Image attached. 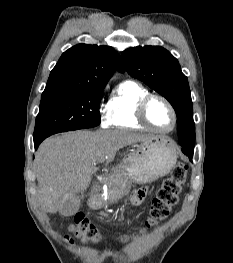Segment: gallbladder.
Segmentation results:
<instances>
[{
  "mask_svg": "<svg viewBox=\"0 0 233 263\" xmlns=\"http://www.w3.org/2000/svg\"><path fill=\"white\" fill-rule=\"evenodd\" d=\"M80 205L81 202L79 199L71 200L59 210V213L64 217L73 216L79 211Z\"/></svg>",
  "mask_w": 233,
  "mask_h": 263,
  "instance_id": "1",
  "label": "gallbladder"
}]
</instances>
